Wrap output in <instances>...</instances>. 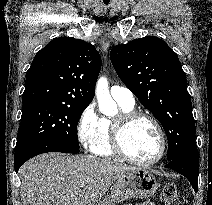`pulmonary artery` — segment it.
Listing matches in <instances>:
<instances>
[{
	"mask_svg": "<svg viewBox=\"0 0 212 205\" xmlns=\"http://www.w3.org/2000/svg\"><path fill=\"white\" fill-rule=\"evenodd\" d=\"M111 96L118 103L124 104L126 106H134L135 99L133 93L126 87L123 86H113L110 90Z\"/></svg>",
	"mask_w": 212,
	"mask_h": 205,
	"instance_id": "obj_1",
	"label": "pulmonary artery"
}]
</instances>
